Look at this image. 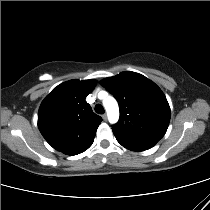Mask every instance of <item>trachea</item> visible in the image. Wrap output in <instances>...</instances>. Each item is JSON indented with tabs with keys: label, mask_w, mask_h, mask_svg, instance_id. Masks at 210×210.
I'll list each match as a JSON object with an SVG mask.
<instances>
[{
	"label": "trachea",
	"mask_w": 210,
	"mask_h": 210,
	"mask_svg": "<svg viewBox=\"0 0 210 210\" xmlns=\"http://www.w3.org/2000/svg\"><path fill=\"white\" fill-rule=\"evenodd\" d=\"M95 112L98 113V114H103L104 113V108L101 104H97L95 106Z\"/></svg>",
	"instance_id": "obj_1"
}]
</instances>
